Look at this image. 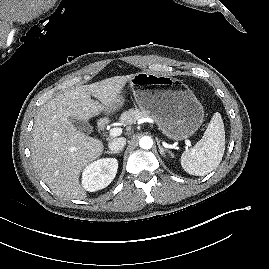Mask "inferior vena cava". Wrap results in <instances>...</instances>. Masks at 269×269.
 Segmentation results:
<instances>
[{"label": "inferior vena cava", "mask_w": 269, "mask_h": 269, "mask_svg": "<svg viewBox=\"0 0 269 269\" xmlns=\"http://www.w3.org/2000/svg\"><path fill=\"white\" fill-rule=\"evenodd\" d=\"M108 145L111 151H120L126 145V138L124 137L116 138L112 140Z\"/></svg>", "instance_id": "602c4592"}]
</instances>
